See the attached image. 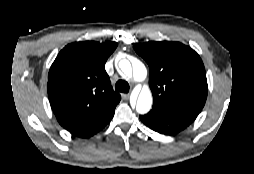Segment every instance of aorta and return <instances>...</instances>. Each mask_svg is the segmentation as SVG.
Instances as JSON below:
<instances>
[{
  "instance_id": "aorta-1",
  "label": "aorta",
  "mask_w": 254,
  "mask_h": 174,
  "mask_svg": "<svg viewBox=\"0 0 254 174\" xmlns=\"http://www.w3.org/2000/svg\"><path fill=\"white\" fill-rule=\"evenodd\" d=\"M119 67L126 77L133 80L143 81L147 77V69L145 65L137 59L132 62V65L128 60H121L119 62ZM152 103L153 98L151 91L149 87L145 86L142 88L138 96L136 103V111L139 114H146L151 109Z\"/></svg>"
}]
</instances>
